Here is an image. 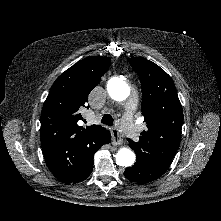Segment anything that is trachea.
<instances>
[{
    "mask_svg": "<svg viewBox=\"0 0 221 221\" xmlns=\"http://www.w3.org/2000/svg\"><path fill=\"white\" fill-rule=\"evenodd\" d=\"M101 123L112 126L114 123L113 117L110 114H105L101 119Z\"/></svg>",
    "mask_w": 221,
    "mask_h": 221,
    "instance_id": "obj_1",
    "label": "trachea"
}]
</instances>
